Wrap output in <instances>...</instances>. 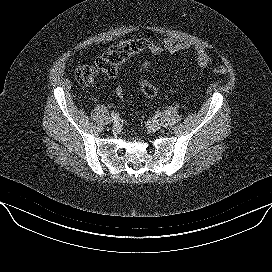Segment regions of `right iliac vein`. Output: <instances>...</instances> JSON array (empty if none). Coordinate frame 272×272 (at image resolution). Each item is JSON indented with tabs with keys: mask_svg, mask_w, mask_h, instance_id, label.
Returning <instances> with one entry per match:
<instances>
[{
	"mask_svg": "<svg viewBox=\"0 0 272 272\" xmlns=\"http://www.w3.org/2000/svg\"><path fill=\"white\" fill-rule=\"evenodd\" d=\"M111 122L113 123V124H118L119 123V118L118 117H116V118H111Z\"/></svg>",
	"mask_w": 272,
	"mask_h": 272,
	"instance_id": "1",
	"label": "right iliac vein"
}]
</instances>
